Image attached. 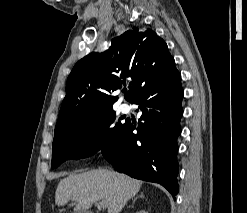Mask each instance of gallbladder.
I'll use <instances>...</instances> for the list:
<instances>
[{
  "instance_id": "gallbladder-1",
  "label": "gallbladder",
  "mask_w": 247,
  "mask_h": 213,
  "mask_svg": "<svg viewBox=\"0 0 247 213\" xmlns=\"http://www.w3.org/2000/svg\"><path fill=\"white\" fill-rule=\"evenodd\" d=\"M74 213H90L84 209H81V210H76Z\"/></svg>"
}]
</instances>
